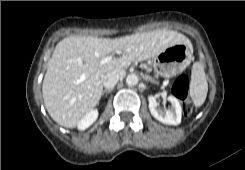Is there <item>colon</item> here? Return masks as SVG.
<instances>
[{
	"instance_id": "colon-1",
	"label": "colon",
	"mask_w": 245,
	"mask_h": 170,
	"mask_svg": "<svg viewBox=\"0 0 245 170\" xmlns=\"http://www.w3.org/2000/svg\"><path fill=\"white\" fill-rule=\"evenodd\" d=\"M188 76L184 73L180 74L172 85V93L181 100V107L184 116H190L193 111V105L188 99Z\"/></svg>"
}]
</instances>
